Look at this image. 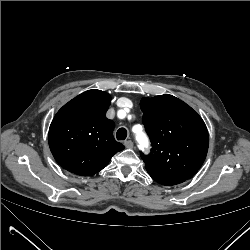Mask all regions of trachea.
<instances>
[{
  "label": "trachea",
  "instance_id": "3493384b",
  "mask_svg": "<svg viewBox=\"0 0 250 250\" xmlns=\"http://www.w3.org/2000/svg\"><path fill=\"white\" fill-rule=\"evenodd\" d=\"M127 137V130L125 128H120L116 133L117 140H125Z\"/></svg>",
  "mask_w": 250,
  "mask_h": 250
}]
</instances>
